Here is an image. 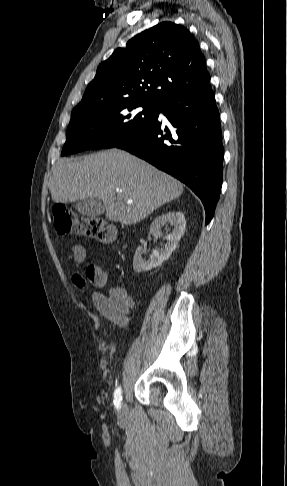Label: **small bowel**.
<instances>
[{
  "label": "small bowel",
  "instance_id": "small-bowel-1",
  "mask_svg": "<svg viewBox=\"0 0 287 486\" xmlns=\"http://www.w3.org/2000/svg\"><path fill=\"white\" fill-rule=\"evenodd\" d=\"M86 256V249L83 246L72 247V258L75 263H83ZM91 297L94 306L105 318L120 327L127 325L128 315L134 308L135 302L123 286L110 284L106 294L94 292Z\"/></svg>",
  "mask_w": 287,
  "mask_h": 486
}]
</instances>
